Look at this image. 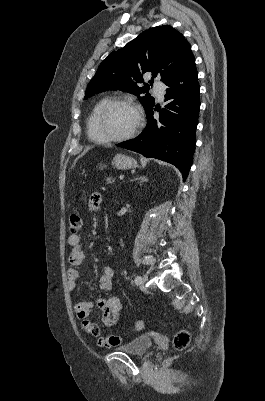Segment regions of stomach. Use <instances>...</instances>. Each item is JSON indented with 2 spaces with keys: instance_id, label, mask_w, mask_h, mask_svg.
<instances>
[{
  "instance_id": "1",
  "label": "stomach",
  "mask_w": 265,
  "mask_h": 401,
  "mask_svg": "<svg viewBox=\"0 0 265 401\" xmlns=\"http://www.w3.org/2000/svg\"><path fill=\"white\" fill-rule=\"evenodd\" d=\"M112 164L119 168V170H126V168H136L137 162L132 156H126V154H115Z\"/></svg>"
}]
</instances>
